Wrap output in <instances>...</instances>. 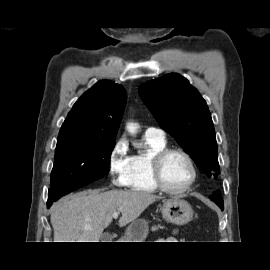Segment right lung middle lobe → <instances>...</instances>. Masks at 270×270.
I'll return each instance as SVG.
<instances>
[{
	"instance_id": "obj_1",
	"label": "right lung middle lobe",
	"mask_w": 270,
	"mask_h": 270,
	"mask_svg": "<svg viewBox=\"0 0 270 270\" xmlns=\"http://www.w3.org/2000/svg\"><path fill=\"white\" fill-rule=\"evenodd\" d=\"M115 140L58 138L48 200L57 201L110 170Z\"/></svg>"
}]
</instances>
